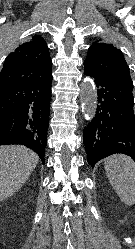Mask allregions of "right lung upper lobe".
I'll return each instance as SVG.
<instances>
[{
  "label": "right lung upper lobe",
  "mask_w": 135,
  "mask_h": 249,
  "mask_svg": "<svg viewBox=\"0 0 135 249\" xmlns=\"http://www.w3.org/2000/svg\"><path fill=\"white\" fill-rule=\"evenodd\" d=\"M51 76L52 61L47 44L36 35L6 57L0 72V86L46 80Z\"/></svg>",
  "instance_id": "1"
}]
</instances>
